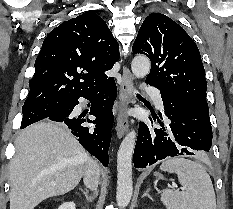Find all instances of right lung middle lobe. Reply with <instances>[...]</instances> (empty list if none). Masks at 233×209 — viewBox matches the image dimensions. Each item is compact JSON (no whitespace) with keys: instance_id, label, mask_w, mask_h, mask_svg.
<instances>
[{"instance_id":"1","label":"right lung middle lobe","mask_w":233,"mask_h":209,"mask_svg":"<svg viewBox=\"0 0 233 209\" xmlns=\"http://www.w3.org/2000/svg\"><path fill=\"white\" fill-rule=\"evenodd\" d=\"M70 100L24 103L21 129L67 108Z\"/></svg>"}]
</instances>
